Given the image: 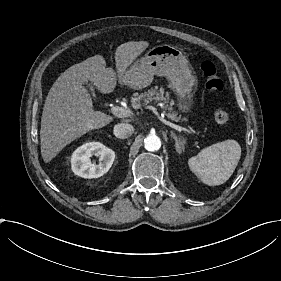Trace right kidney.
<instances>
[{"label": "right kidney", "mask_w": 281, "mask_h": 281, "mask_svg": "<svg viewBox=\"0 0 281 281\" xmlns=\"http://www.w3.org/2000/svg\"><path fill=\"white\" fill-rule=\"evenodd\" d=\"M93 155L99 156V163H91ZM115 160L113 150L99 141H90L77 147L70 155L71 170L82 178H98L104 175Z\"/></svg>", "instance_id": "ca27d5eb"}]
</instances>
